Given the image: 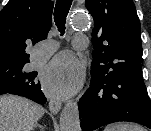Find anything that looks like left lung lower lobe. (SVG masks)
Wrapping results in <instances>:
<instances>
[{
	"label": "left lung lower lobe",
	"mask_w": 151,
	"mask_h": 131,
	"mask_svg": "<svg viewBox=\"0 0 151 131\" xmlns=\"http://www.w3.org/2000/svg\"><path fill=\"white\" fill-rule=\"evenodd\" d=\"M141 70L137 67L100 82L91 79L78 103L82 131L118 121L136 122L151 129V102Z\"/></svg>",
	"instance_id": "1"
}]
</instances>
